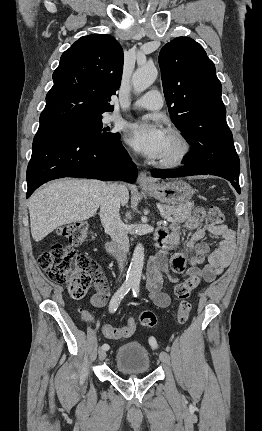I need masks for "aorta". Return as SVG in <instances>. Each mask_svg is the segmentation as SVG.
<instances>
[{"instance_id": "762f6f07", "label": "aorta", "mask_w": 262, "mask_h": 431, "mask_svg": "<svg viewBox=\"0 0 262 431\" xmlns=\"http://www.w3.org/2000/svg\"><path fill=\"white\" fill-rule=\"evenodd\" d=\"M158 75L157 68L154 65H144L136 69L132 76V83L136 93L143 92L151 86ZM144 247L138 243L134 249L130 266L127 272V281L138 286L141 280V274L144 265Z\"/></svg>"}]
</instances>
